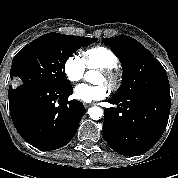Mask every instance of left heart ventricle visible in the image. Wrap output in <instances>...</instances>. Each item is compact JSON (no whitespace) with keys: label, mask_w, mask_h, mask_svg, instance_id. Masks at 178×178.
Instances as JSON below:
<instances>
[{"label":"left heart ventricle","mask_w":178,"mask_h":178,"mask_svg":"<svg viewBox=\"0 0 178 178\" xmlns=\"http://www.w3.org/2000/svg\"><path fill=\"white\" fill-rule=\"evenodd\" d=\"M105 80H106V79H105V76H104L102 73H99L98 76L96 77L95 82H96V83H99V84H100V83H103V84H104V83H105Z\"/></svg>","instance_id":"left-heart-ventricle-1"}]
</instances>
